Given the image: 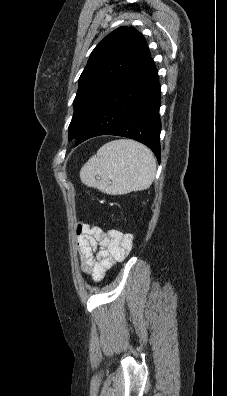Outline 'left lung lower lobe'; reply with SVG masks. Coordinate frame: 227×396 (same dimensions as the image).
I'll return each mask as SVG.
<instances>
[{
	"label": "left lung lower lobe",
	"instance_id": "1",
	"mask_svg": "<svg viewBox=\"0 0 227 396\" xmlns=\"http://www.w3.org/2000/svg\"><path fill=\"white\" fill-rule=\"evenodd\" d=\"M160 85L149 56L97 106L76 146L100 135H116L148 146L160 162Z\"/></svg>",
	"mask_w": 227,
	"mask_h": 396
}]
</instances>
